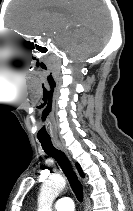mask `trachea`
I'll list each match as a JSON object with an SVG mask.
<instances>
[{"mask_svg": "<svg viewBox=\"0 0 133 211\" xmlns=\"http://www.w3.org/2000/svg\"><path fill=\"white\" fill-rule=\"evenodd\" d=\"M40 143L45 153L56 159L59 166L66 175L74 194L81 202L83 199V188L65 154L61 150L55 148L51 141L40 140Z\"/></svg>", "mask_w": 133, "mask_h": 211, "instance_id": "trachea-1", "label": "trachea"}]
</instances>
